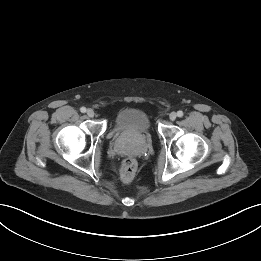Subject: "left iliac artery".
<instances>
[{
  "label": "left iliac artery",
  "mask_w": 261,
  "mask_h": 261,
  "mask_svg": "<svg viewBox=\"0 0 261 261\" xmlns=\"http://www.w3.org/2000/svg\"><path fill=\"white\" fill-rule=\"evenodd\" d=\"M177 116H178V117H182V116H183V111H178V112H177Z\"/></svg>",
  "instance_id": "left-iliac-artery-1"
}]
</instances>
